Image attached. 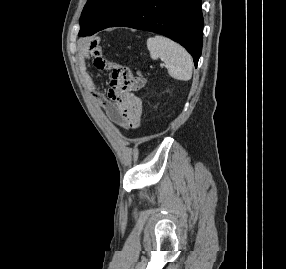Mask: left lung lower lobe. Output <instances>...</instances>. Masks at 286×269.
<instances>
[{
  "mask_svg": "<svg viewBox=\"0 0 286 269\" xmlns=\"http://www.w3.org/2000/svg\"><path fill=\"white\" fill-rule=\"evenodd\" d=\"M131 27L162 34L181 44L197 66L202 51L201 0H143L108 27Z\"/></svg>",
  "mask_w": 286,
  "mask_h": 269,
  "instance_id": "left-lung-lower-lobe-1",
  "label": "left lung lower lobe"
}]
</instances>
